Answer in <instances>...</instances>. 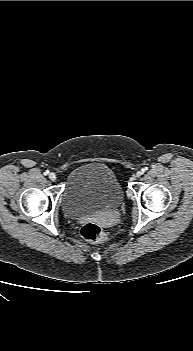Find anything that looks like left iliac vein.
Here are the masks:
<instances>
[{
    "label": "left iliac vein",
    "mask_w": 193,
    "mask_h": 351,
    "mask_svg": "<svg viewBox=\"0 0 193 351\" xmlns=\"http://www.w3.org/2000/svg\"><path fill=\"white\" fill-rule=\"evenodd\" d=\"M141 175H142V171H137L136 172V177H141Z\"/></svg>",
    "instance_id": "left-iliac-vein-1"
}]
</instances>
